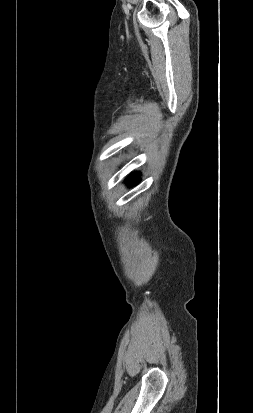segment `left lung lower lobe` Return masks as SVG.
<instances>
[{
    "mask_svg": "<svg viewBox=\"0 0 253 413\" xmlns=\"http://www.w3.org/2000/svg\"><path fill=\"white\" fill-rule=\"evenodd\" d=\"M138 180H139V173H136L130 177L129 182L131 184H135Z\"/></svg>",
    "mask_w": 253,
    "mask_h": 413,
    "instance_id": "0a47b994",
    "label": "left lung lower lobe"
}]
</instances>
